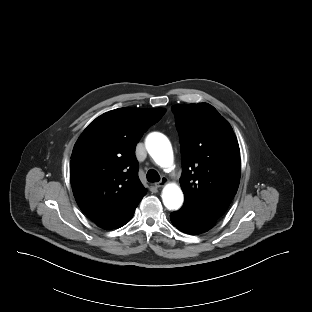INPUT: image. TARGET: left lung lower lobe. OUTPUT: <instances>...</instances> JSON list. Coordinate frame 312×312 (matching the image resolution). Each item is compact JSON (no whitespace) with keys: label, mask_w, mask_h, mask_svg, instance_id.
Segmentation results:
<instances>
[{"label":"left lung lower lobe","mask_w":312,"mask_h":312,"mask_svg":"<svg viewBox=\"0 0 312 312\" xmlns=\"http://www.w3.org/2000/svg\"><path fill=\"white\" fill-rule=\"evenodd\" d=\"M172 224L180 231L188 234H201L211 229L216 220L203 217L197 213L181 208L170 215Z\"/></svg>","instance_id":"left-lung-lower-lobe-1"}]
</instances>
